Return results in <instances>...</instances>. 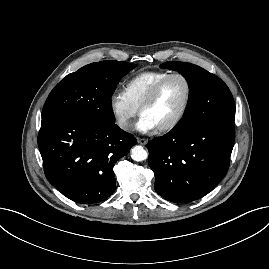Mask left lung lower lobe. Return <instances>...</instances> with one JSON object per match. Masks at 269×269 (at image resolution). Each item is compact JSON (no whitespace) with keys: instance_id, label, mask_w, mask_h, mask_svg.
<instances>
[{"instance_id":"obj_1","label":"left lung lower lobe","mask_w":269,"mask_h":269,"mask_svg":"<svg viewBox=\"0 0 269 269\" xmlns=\"http://www.w3.org/2000/svg\"><path fill=\"white\" fill-rule=\"evenodd\" d=\"M234 136L233 120H214L151 140L148 161L155 174V191L175 203L198 200L211 192L228 170Z\"/></svg>"}]
</instances>
